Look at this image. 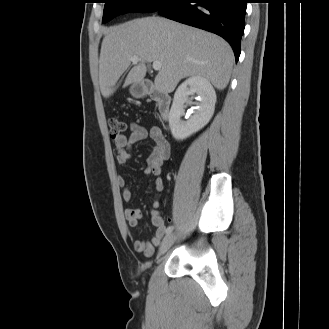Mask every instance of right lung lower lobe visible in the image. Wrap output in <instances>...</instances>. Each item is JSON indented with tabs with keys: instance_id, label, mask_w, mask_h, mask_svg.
<instances>
[{
	"instance_id": "right-lung-lower-lobe-1",
	"label": "right lung lower lobe",
	"mask_w": 329,
	"mask_h": 329,
	"mask_svg": "<svg viewBox=\"0 0 329 329\" xmlns=\"http://www.w3.org/2000/svg\"><path fill=\"white\" fill-rule=\"evenodd\" d=\"M247 0H171L159 13L166 18L213 32L241 52Z\"/></svg>"
}]
</instances>
